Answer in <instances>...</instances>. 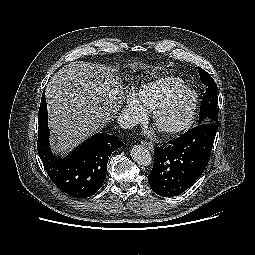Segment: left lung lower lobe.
Segmentation results:
<instances>
[{"instance_id": "left-lung-lower-lobe-1", "label": "left lung lower lobe", "mask_w": 255, "mask_h": 255, "mask_svg": "<svg viewBox=\"0 0 255 255\" xmlns=\"http://www.w3.org/2000/svg\"><path fill=\"white\" fill-rule=\"evenodd\" d=\"M218 126L203 123L166 148L157 147L148 176L152 190L163 197L177 196L191 187L206 168Z\"/></svg>"}]
</instances>
